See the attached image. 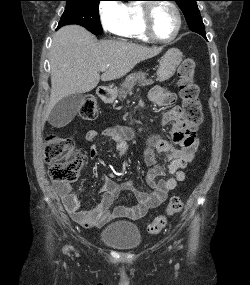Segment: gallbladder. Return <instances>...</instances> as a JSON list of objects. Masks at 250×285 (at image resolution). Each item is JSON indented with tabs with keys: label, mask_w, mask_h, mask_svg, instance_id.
<instances>
[{
	"label": "gallbladder",
	"mask_w": 250,
	"mask_h": 285,
	"mask_svg": "<svg viewBox=\"0 0 250 285\" xmlns=\"http://www.w3.org/2000/svg\"><path fill=\"white\" fill-rule=\"evenodd\" d=\"M84 103L82 94L69 95L60 100L51 110L48 121L53 127H63L69 124Z\"/></svg>",
	"instance_id": "gallbladder-1"
}]
</instances>
